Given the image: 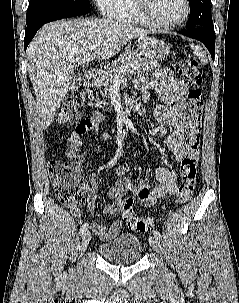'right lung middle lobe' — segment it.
Masks as SVG:
<instances>
[{
    "label": "right lung middle lobe",
    "mask_w": 239,
    "mask_h": 303,
    "mask_svg": "<svg viewBox=\"0 0 239 303\" xmlns=\"http://www.w3.org/2000/svg\"><path fill=\"white\" fill-rule=\"evenodd\" d=\"M51 8H90V2L89 0H30L26 16Z\"/></svg>",
    "instance_id": "dd1d6c3e"
}]
</instances>
